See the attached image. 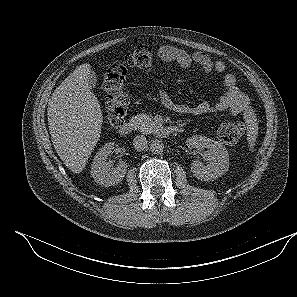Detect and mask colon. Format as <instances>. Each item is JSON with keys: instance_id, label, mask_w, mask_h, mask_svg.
<instances>
[{"instance_id": "obj_1", "label": "colon", "mask_w": 297, "mask_h": 297, "mask_svg": "<svg viewBox=\"0 0 297 297\" xmlns=\"http://www.w3.org/2000/svg\"><path fill=\"white\" fill-rule=\"evenodd\" d=\"M153 66L152 50L139 46L127 53L122 61L114 62L105 72L103 88L107 94L106 120L110 127L120 126L127 110V69L149 70ZM246 126L242 121L223 122L217 128V136L223 143L234 144L244 135Z\"/></svg>"}]
</instances>
